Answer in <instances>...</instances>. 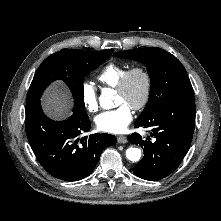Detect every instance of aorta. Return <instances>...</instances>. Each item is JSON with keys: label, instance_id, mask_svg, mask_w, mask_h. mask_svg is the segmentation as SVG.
<instances>
[{"label": "aorta", "instance_id": "obj_1", "mask_svg": "<svg viewBox=\"0 0 221 221\" xmlns=\"http://www.w3.org/2000/svg\"><path fill=\"white\" fill-rule=\"evenodd\" d=\"M112 91L107 89L102 92L99 102L102 108L110 109L113 105L112 100ZM126 157L132 162H137L141 158V150L139 148L131 147L126 150Z\"/></svg>", "mask_w": 221, "mask_h": 221}]
</instances>
